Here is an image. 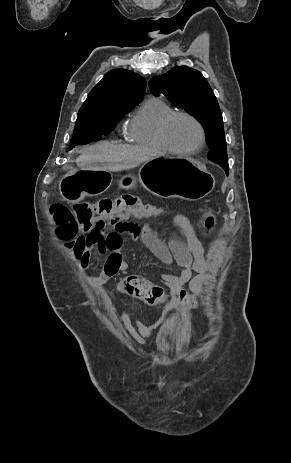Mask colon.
I'll return each instance as SVG.
<instances>
[{"label": "colon", "instance_id": "5ec220e1", "mask_svg": "<svg viewBox=\"0 0 291 463\" xmlns=\"http://www.w3.org/2000/svg\"><path fill=\"white\" fill-rule=\"evenodd\" d=\"M132 212L146 219L168 220L172 216V208L168 204H144L132 196H123L117 199L102 198L94 203L78 202L71 207L55 203L50 207V214L56 223V235L65 241V245L71 248L78 234L90 232L95 229H105L112 226L111 220L115 217H131ZM180 223L189 219L185 210L176 214ZM214 220L212 216L204 222L207 230L212 229ZM118 288L120 292L150 305L160 306L165 303L166 297L163 290L141 276H128L120 280Z\"/></svg>", "mask_w": 291, "mask_h": 463}]
</instances>
